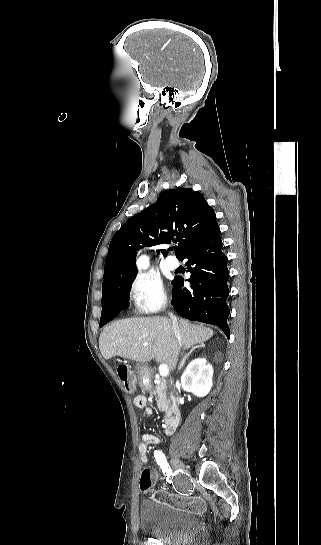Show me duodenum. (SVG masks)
<instances>
[{
    "mask_svg": "<svg viewBox=\"0 0 321 545\" xmlns=\"http://www.w3.org/2000/svg\"><path fill=\"white\" fill-rule=\"evenodd\" d=\"M181 411L177 403H172L165 414L163 421V431L165 434H172L180 423Z\"/></svg>",
    "mask_w": 321,
    "mask_h": 545,
    "instance_id": "duodenum-1",
    "label": "duodenum"
}]
</instances>
